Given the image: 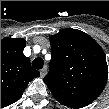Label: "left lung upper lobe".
Instances as JSON below:
<instances>
[{"label":"left lung upper lobe","mask_w":109,"mask_h":109,"mask_svg":"<svg viewBox=\"0 0 109 109\" xmlns=\"http://www.w3.org/2000/svg\"><path fill=\"white\" fill-rule=\"evenodd\" d=\"M52 58L44 82L56 99L84 107L103 91L108 78L100 45L77 29H63L50 37Z\"/></svg>","instance_id":"5c2ea615"}]
</instances>
